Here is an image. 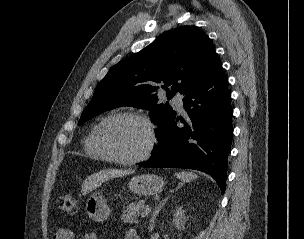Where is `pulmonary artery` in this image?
Listing matches in <instances>:
<instances>
[{
  "instance_id": "e3ab8cb5",
  "label": "pulmonary artery",
  "mask_w": 304,
  "mask_h": 239,
  "mask_svg": "<svg viewBox=\"0 0 304 239\" xmlns=\"http://www.w3.org/2000/svg\"><path fill=\"white\" fill-rule=\"evenodd\" d=\"M172 103L176 106V108L179 111L184 110L183 95L182 94H180V93L175 94L174 97L172 98Z\"/></svg>"
}]
</instances>
